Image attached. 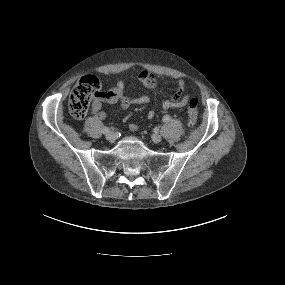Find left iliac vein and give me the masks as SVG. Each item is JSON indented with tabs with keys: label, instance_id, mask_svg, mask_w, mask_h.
I'll use <instances>...</instances> for the list:
<instances>
[{
	"label": "left iliac vein",
	"instance_id": "obj_1",
	"mask_svg": "<svg viewBox=\"0 0 285 285\" xmlns=\"http://www.w3.org/2000/svg\"><path fill=\"white\" fill-rule=\"evenodd\" d=\"M152 141L154 143H160L162 141V137L159 134H153L152 135Z\"/></svg>",
	"mask_w": 285,
	"mask_h": 285
}]
</instances>
